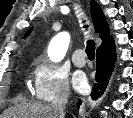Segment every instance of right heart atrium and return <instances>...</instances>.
<instances>
[{
  "instance_id": "right-heart-atrium-1",
  "label": "right heart atrium",
  "mask_w": 133,
  "mask_h": 118,
  "mask_svg": "<svg viewBox=\"0 0 133 118\" xmlns=\"http://www.w3.org/2000/svg\"><path fill=\"white\" fill-rule=\"evenodd\" d=\"M33 94L36 100L44 103L69 97L68 74L48 60H37L33 72Z\"/></svg>"
}]
</instances>
